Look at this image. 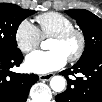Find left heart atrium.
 I'll return each instance as SVG.
<instances>
[{
    "label": "left heart atrium",
    "mask_w": 102,
    "mask_h": 102,
    "mask_svg": "<svg viewBox=\"0 0 102 102\" xmlns=\"http://www.w3.org/2000/svg\"><path fill=\"white\" fill-rule=\"evenodd\" d=\"M67 59L58 51H34L27 55L26 65L32 72L48 74L63 68Z\"/></svg>",
    "instance_id": "obj_1"
}]
</instances>
